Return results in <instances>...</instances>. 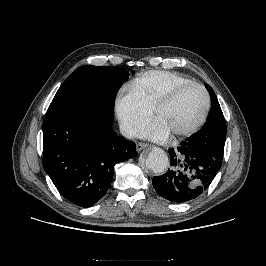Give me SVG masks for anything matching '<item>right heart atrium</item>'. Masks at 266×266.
Segmentation results:
<instances>
[{"mask_svg": "<svg viewBox=\"0 0 266 266\" xmlns=\"http://www.w3.org/2000/svg\"><path fill=\"white\" fill-rule=\"evenodd\" d=\"M115 112L123 133L128 137L134 136L152 116L151 109L129 88L117 95Z\"/></svg>", "mask_w": 266, "mask_h": 266, "instance_id": "1", "label": "right heart atrium"}]
</instances>
